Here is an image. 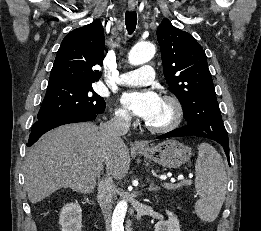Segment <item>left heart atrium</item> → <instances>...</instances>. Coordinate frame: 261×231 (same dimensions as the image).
Instances as JSON below:
<instances>
[{
  "mask_svg": "<svg viewBox=\"0 0 261 231\" xmlns=\"http://www.w3.org/2000/svg\"><path fill=\"white\" fill-rule=\"evenodd\" d=\"M122 102L132 113L149 121L159 107L161 99L152 90L130 91L123 95Z\"/></svg>",
  "mask_w": 261,
  "mask_h": 231,
  "instance_id": "1",
  "label": "left heart atrium"
}]
</instances>
